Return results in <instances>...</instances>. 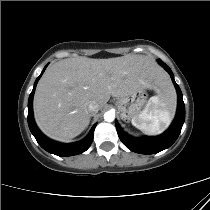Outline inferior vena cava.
Returning <instances> with one entry per match:
<instances>
[{"label":"inferior vena cava","instance_id":"obj_1","mask_svg":"<svg viewBox=\"0 0 210 210\" xmlns=\"http://www.w3.org/2000/svg\"><path fill=\"white\" fill-rule=\"evenodd\" d=\"M99 109V106L96 102L92 101L88 104V111L93 114V113H97Z\"/></svg>","mask_w":210,"mask_h":210}]
</instances>
